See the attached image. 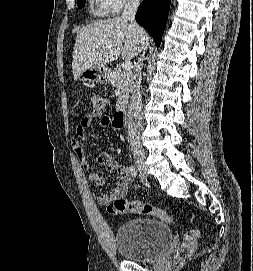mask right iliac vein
<instances>
[{
  "mask_svg": "<svg viewBox=\"0 0 253 271\" xmlns=\"http://www.w3.org/2000/svg\"><path fill=\"white\" fill-rule=\"evenodd\" d=\"M133 158H134V162L137 166V168L145 173L146 171V167H145V152L143 150H138V151H134L133 152Z\"/></svg>",
  "mask_w": 253,
  "mask_h": 271,
  "instance_id": "63e3f726",
  "label": "right iliac vein"
}]
</instances>
